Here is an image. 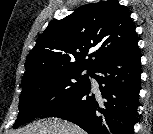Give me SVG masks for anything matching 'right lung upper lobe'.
<instances>
[{
    "mask_svg": "<svg viewBox=\"0 0 153 134\" xmlns=\"http://www.w3.org/2000/svg\"><path fill=\"white\" fill-rule=\"evenodd\" d=\"M137 43L130 13L118 1L86 4L67 17L49 23L27 57L23 80L60 67L93 70ZM93 49L95 51L88 54Z\"/></svg>",
    "mask_w": 153,
    "mask_h": 134,
    "instance_id": "1",
    "label": "right lung upper lobe"
}]
</instances>
